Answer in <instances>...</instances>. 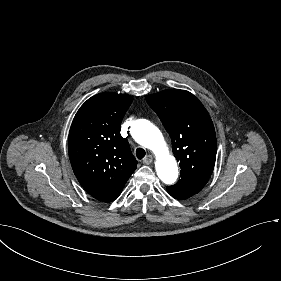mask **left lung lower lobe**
Listing matches in <instances>:
<instances>
[{"mask_svg": "<svg viewBox=\"0 0 281 281\" xmlns=\"http://www.w3.org/2000/svg\"><path fill=\"white\" fill-rule=\"evenodd\" d=\"M167 191L168 193L173 196L174 198L178 199V200H183V199H186L188 198L187 196L185 195H182V194H179V193H176V192H173L171 191L168 187H167Z\"/></svg>", "mask_w": 281, "mask_h": 281, "instance_id": "1", "label": "left lung lower lobe"}]
</instances>
